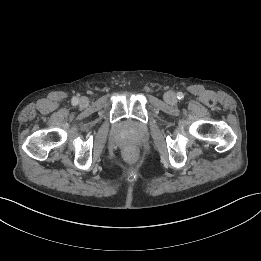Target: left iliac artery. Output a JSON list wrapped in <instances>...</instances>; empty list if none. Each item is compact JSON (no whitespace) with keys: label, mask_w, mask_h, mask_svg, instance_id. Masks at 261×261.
Here are the masks:
<instances>
[{"label":"left iliac artery","mask_w":261,"mask_h":261,"mask_svg":"<svg viewBox=\"0 0 261 261\" xmlns=\"http://www.w3.org/2000/svg\"><path fill=\"white\" fill-rule=\"evenodd\" d=\"M183 97H184V95H183L182 92H179V93L177 94V98H178V99H182Z\"/></svg>","instance_id":"left-iliac-artery-1"}]
</instances>
